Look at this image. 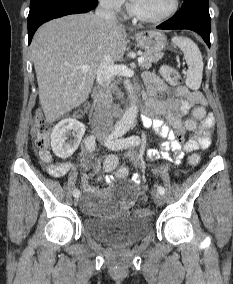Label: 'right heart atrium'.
Here are the masks:
<instances>
[{"mask_svg": "<svg viewBox=\"0 0 233 284\" xmlns=\"http://www.w3.org/2000/svg\"><path fill=\"white\" fill-rule=\"evenodd\" d=\"M99 2L109 10H120L124 4L125 0H99Z\"/></svg>", "mask_w": 233, "mask_h": 284, "instance_id": "obj_1", "label": "right heart atrium"}]
</instances>
